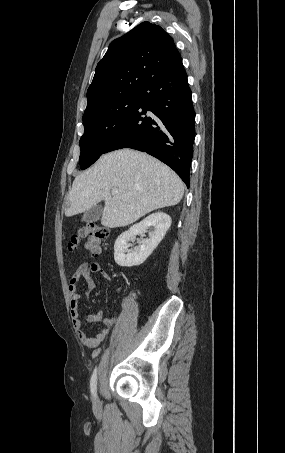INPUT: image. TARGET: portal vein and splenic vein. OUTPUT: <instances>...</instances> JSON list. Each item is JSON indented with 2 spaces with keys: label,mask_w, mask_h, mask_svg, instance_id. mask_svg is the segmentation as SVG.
I'll list each match as a JSON object with an SVG mask.
<instances>
[{
  "label": "portal vein and splenic vein",
  "mask_w": 285,
  "mask_h": 453,
  "mask_svg": "<svg viewBox=\"0 0 285 453\" xmlns=\"http://www.w3.org/2000/svg\"><path fill=\"white\" fill-rule=\"evenodd\" d=\"M118 193V189L117 188H113L112 189V194H117Z\"/></svg>",
  "instance_id": "1"
}]
</instances>
